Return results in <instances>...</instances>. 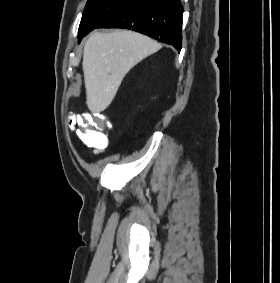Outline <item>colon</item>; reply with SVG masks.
Returning <instances> with one entry per match:
<instances>
[{
	"label": "colon",
	"instance_id": "5ec220e1",
	"mask_svg": "<svg viewBox=\"0 0 280 283\" xmlns=\"http://www.w3.org/2000/svg\"><path fill=\"white\" fill-rule=\"evenodd\" d=\"M76 128L77 139L86 147L102 151L108 144L105 132H109L110 122H103L106 114H100V110H85L82 115L69 116Z\"/></svg>",
	"mask_w": 280,
	"mask_h": 283
}]
</instances>
